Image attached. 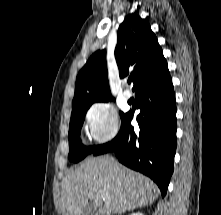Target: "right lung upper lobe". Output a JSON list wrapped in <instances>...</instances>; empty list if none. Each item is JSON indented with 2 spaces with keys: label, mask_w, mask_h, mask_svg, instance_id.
<instances>
[{
  "label": "right lung upper lobe",
  "mask_w": 221,
  "mask_h": 215,
  "mask_svg": "<svg viewBox=\"0 0 221 215\" xmlns=\"http://www.w3.org/2000/svg\"><path fill=\"white\" fill-rule=\"evenodd\" d=\"M115 58L120 78L132 77L133 91L168 71L166 59L147 20L137 14L125 17L117 32ZM105 51L95 52L76 78L72 105L111 99Z\"/></svg>",
  "instance_id": "right-lung-upper-lobe-1"
}]
</instances>
